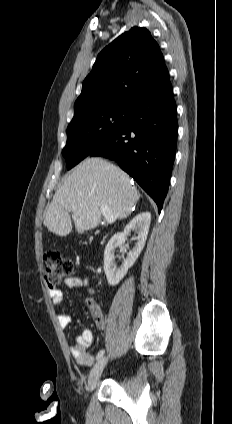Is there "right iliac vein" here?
Listing matches in <instances>:
<instances>
[{
    "instance_id": "right-iliac-vein-1",
    "label": "right iliac vein",
    "mask_w": 232,
    "mask_h": 424,
    "mask_svg": "<svg viewBox=\"0 0 232 424\" xmlns=\"http://www.w3.org/2000/svg\"><path fill=\"white\" fill-rule=\"evenodd\" d=\"M106 364H107V358L103 357L92 368L90 375H89V379H88V390L89 391H92L95 388V386H96Z\"/></svg>"
}]
</instances>
